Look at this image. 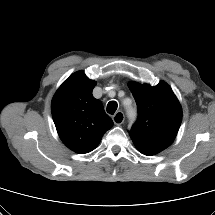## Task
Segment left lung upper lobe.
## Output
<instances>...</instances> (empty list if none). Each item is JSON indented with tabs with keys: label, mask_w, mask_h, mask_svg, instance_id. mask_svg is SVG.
Returning a JSON list of instances; mask_svg holds the SVG:
<instances>
[{
	"label": "left lung upper lobe",
	"mask_w": 215,
	"mask_h": 215,
	"mask_svg": "<svg viewBox=\"0 0 215 215\" xmlns=\"http://www.w3.org/2000/svg\"><path fill=\"white\" fill-rule=\"evenodd\" d=\"M128 86L138 107V119L129 135L141 153L155 155L174 141L182 121L181 105L163 81L154 87L136 82Z\"/></svg>",
	"instance_id": "left-lung-upper-lobe-1"
}]
</instances>
